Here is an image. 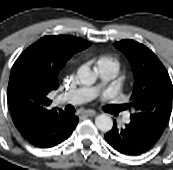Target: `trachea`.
Returning <instances> with one entry per match:
<instances>
[{"label":"trachea","instance_id":"1","mask_svg":"<svg viewBox=\"0 0 173 170\" xmlns=\"http://www.w3.org/2000/svg\"><path fill=\"white\" fill-rule=\"evenodd\" d=\"M65 110L69 113H74L75 112V109L70 105L66 106Z\"/></svg>","mask_w":173,"mask_h":170}]
</instances>
